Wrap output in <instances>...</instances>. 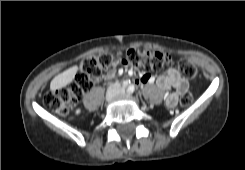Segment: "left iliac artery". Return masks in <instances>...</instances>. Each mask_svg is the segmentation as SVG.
<instances>
[{
  "label": "left iliac artery",
  "instance_id": "left-iliac-artery-1",
  "mask_svg": "<svg viewBox=\"0 0 245 170\" xmlns=\"http://www.w3.org/2000/svg\"><path fill=\"white\" fill-rule=\"evenodd\" d=\"M135 91V86L132 84L128 87V93H133Z\"/></svg>",
  "mask_w": 245,
  "mask_h": 170
}]
</instances>
